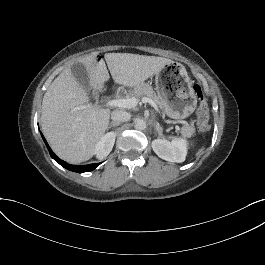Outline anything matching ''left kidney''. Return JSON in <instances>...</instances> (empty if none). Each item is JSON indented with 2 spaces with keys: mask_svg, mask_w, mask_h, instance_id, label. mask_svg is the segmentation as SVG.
Instances as JSON below:
<instances>
[{
  "mask_svg": "<svg viewBox=\"0 0 265 265\" xmlns=\"http://www.w3.org/2000/svg\"><path fill=\"white\" fill-rule=\"evenodd\" d=\"M152 149L155 154L168 162L181 163L185 158V150L181 142L169 143L164 140H155L152 142Z\"/></svg>",
  "mask_w": 265,
  "mask_h": 265,
  "instance_id": "obj_1",
  "label": "left kidney"
}]
</instances>
